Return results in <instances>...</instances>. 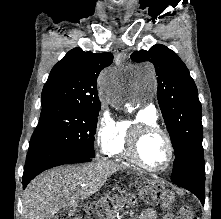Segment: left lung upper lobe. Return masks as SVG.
Returning <instances> with one entry per match:
<instances>
[{
    "instance_id": "obj_1",
    "label": "left lung upper lobe",
    "mask_w": 221,
    "mask_h": 219,
    "mask_svg": "<svg viewBox=\"0 0 221 219\" xmlns=\"http://www.w3.org/2000/svg\"><path fill=\"white\" fill-rule=\"evenodd\" d=\"M131 59L155 66L157 99L175 152L172 181L204 175L201 104L187 67L174 51L161 44L134 52Z\"/></svg>"
}]
</instances>
